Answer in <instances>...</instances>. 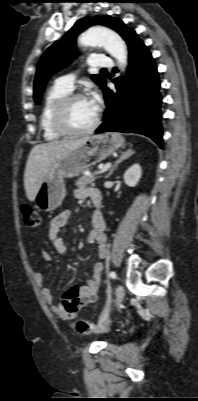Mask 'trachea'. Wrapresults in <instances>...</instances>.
<instances>
[{
	"instance_id": "1",
	"label": "trachea",
	"mask_w": 198,
	"mask_h": 401,
	"mask_svg": "<svg viewBox=\"0 0 198 401\" xmlns=\"http://www.w3.org/2000/svg\"><path fill=\"white\" fill-rule=\"evenodd\" d=\"M102 71H106V69H102Z\"/></svg>"
}]
</instances>
